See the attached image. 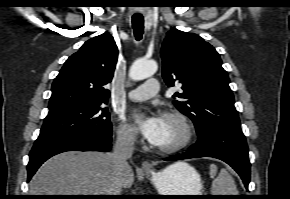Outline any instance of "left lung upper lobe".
<instances>
[{"mask_svg":"<svg viewBox=\"0 0 290 199\" xmlns=\"http://www.w3.org/2000/svg\"><path fill=\"white\" fill-rule=\"evenodd\" d=\"M161 56L166 84H182L173 103L196 131L209 125L240 128L229 77L213 46L194 33L174 29L167 33Z\"/></svg>","mask_w":290,"mask_h":199,"instance_id":"left-lung-upper-lobe-1","label":"left lung upper lobe"}]
</instances>
